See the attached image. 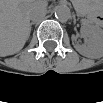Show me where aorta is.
<instances>
[{
    "label": "aorta",
    "mask_w": 103,
    "mask_h": 103,
    "mask_svg": "<svg viewBox=\"0 0 103 103\" xmlns=\"http://www.w3.org/2000/svg\"><path fill=\"white\" fill-rule=\"evenodd\" d=\"M55 17L60 22H66L70 19L71 11L67 5H58L54 9Z\"/></svg>",
    "instance_id": "1"
}]
</instances>
